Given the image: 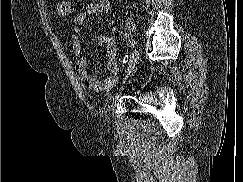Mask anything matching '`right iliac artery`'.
<instances>
[{"label":"right iliac artery","mask_w":243,"mask_h":182,"mask_svg":"<svg viewBox=\"0 0 243 182\" xmlns=\"http://www.w3.org/2000/svg\"><path fill=\"white\" fill-rule=\"evenodd\" d=\"M128 61V55H126L125 57H124V63H126Z\"/></svg>","instance_id":"1"}]
</instances>
